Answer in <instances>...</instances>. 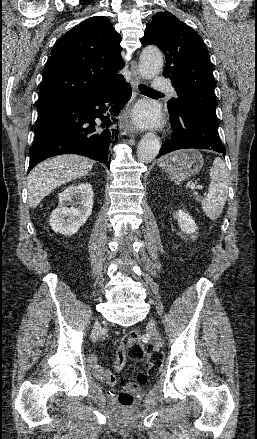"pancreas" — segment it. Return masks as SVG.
Returning a JSON list of instances; mask_svg holds the SVG:
<instances>
[{"label": "pancreas", "mask_w": 257, "mask_h": 439, "mask_svg": "<svg viewBox=\"0 0 257 439\" xmlns=\"http://www.w3.org/2000/svg\"><path fill=\"white\" fill-rule=\"evenodd\" d=\"M195 197H196V200H200V196L199 195H197V194H195Z\"/></svg>", "instance_id": "cf45deb5"}]
</instances>
